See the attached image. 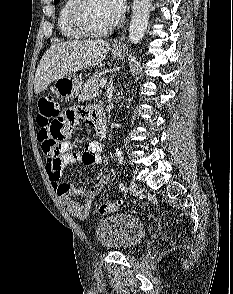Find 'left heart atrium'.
I'll return each instance as SVG.
<instances>
[{"label":"left heart atrium","mask_w":233,"mask_h":294,"mask_svg":"<svg viewBox=\"0 0 233 294\" xmlns=\"http://www.w3.org/2000/svg\"><path fill=\"white\" fill-rule=\"evenodd\" d=\"M109 7L112 12L119 17L125 10L126 2L125 0H107Z\"/></svg>","instance_id":"39dd6f15"}]
</instances>
